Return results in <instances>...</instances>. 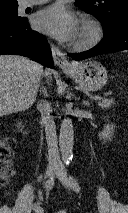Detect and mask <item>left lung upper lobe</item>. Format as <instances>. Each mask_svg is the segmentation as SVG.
Wrapping results in <instances>:
<instances>
[{
    "mask_svg": "<svg viewBox=\"0 0 128 213\" xmlns=\"http://www.w3.org/2000/svg\"><path fill=\"white\" fill-rule=\"evenodd\" d=\"M75 5L93 14L104 30L128 20V0H77Z\"/></svg>",
    "mask_w": 128,
    "mask_h": 213,
    "instance_id": "obj_1",
    "label": "left lung upper lobe"
}]
</instances>
